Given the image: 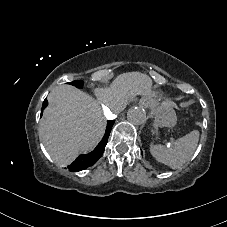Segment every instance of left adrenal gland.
Wrapping results in <instances>:
<instances>
[{
    "instance_id": "a2214340",
    "label": "left adrenal gland",
    "mask_w": 227,
    "mask_h": 227,
    "mask_svg": "<svg viewBox=\"0 0 227 227\" xmlns=\"http://www.w3.org/2000/svg\"><path fill=\"white\" fill-rule=\"evenodd\" d=\"M155 133H156V134L158 133V128H156V131H155Z\"/></svg>"
}]
</instances>
